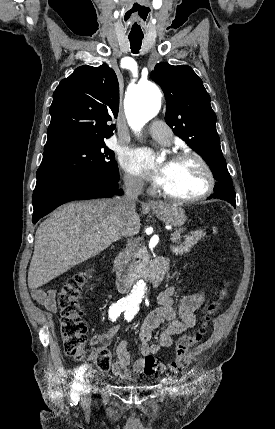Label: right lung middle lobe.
I'll return each instance as SVG.
<instances>
[{
	"label": "right lung middle lobe",
	"instance_id": "right-lung-middle-lobe-1",
	"mask_svg": "<svg viewBox=\"0 0 275 429\" xmlns=\"http://www.w3.org/2000/svg\"><path fill=\"white\" fill-rule=\"evenodd\" d=\"M36 188L63 177L76 175H99L119 179V170L104 140L89 144H68L43 153L37 170Z\"/></svg>",
	"mask_w": 275,
	"mask_h": 429
}]
</instances>
